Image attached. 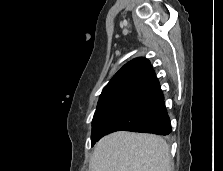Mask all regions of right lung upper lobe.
Instances as JSON below:
<instances>
[{
    "label": "right lung upper lobe",
    "mask_w": 223,
    "mask_h": 171,
    "mask_svg": "<svg viewBox=\"0 0 223 171\" xmlns=\"http://www.w3.org/2000/svg\"><path fill=\"white\" fill-rule=\"evenodd\" d=\"M159 82L145 58H135L125 64L104 87L100 100L115 96L139 97Z\"/></svg>",
    "instance_id": "right-lung-upper-lobe-1"
}]
</instances>
